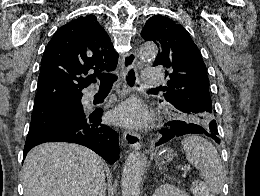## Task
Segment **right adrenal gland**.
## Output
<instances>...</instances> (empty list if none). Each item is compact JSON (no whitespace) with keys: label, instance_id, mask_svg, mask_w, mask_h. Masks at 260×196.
Masks as SVG:
<instances>
[{"label":"right adrenal gland","instance_id":"2a0ac1e0","mask_svg":"<svg viewBox=\"0 0 260 196\" xmlns=\"http://www.w3.org/2000/svg\"><path fill=\"white\" fill-rule=\"evenodd\" d=\"M103 196H106L105 192H104Z\"/></svg>","mask_w":260,"mask_h":196}]
</instances>
